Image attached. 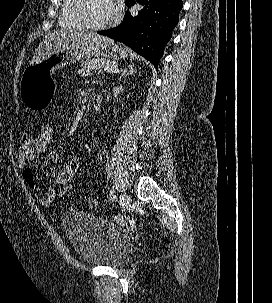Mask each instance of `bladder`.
Returning <instances> with one entry per match:
<instances>
[{
	"label": "bladder",
	"mask_w": 272,
	"mask_h": 303,
	"mask_svg": "<svg viewBox=\"0 0 272 303\" xmlns=\"http://www.w3.org/2000/svg\"><path fill=\"white\" fill-rule=\"evenodd\" d=\"M61 226L78 257L88 265L119 267L134 252L130 236L104 218L69 210L62 215Z\"/></svg>",
	"instance_id": "1"
}]
</instances>
